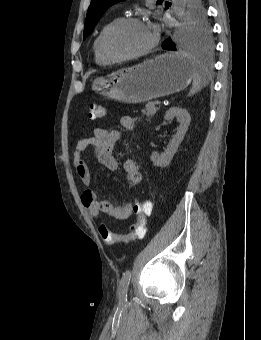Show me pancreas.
Instances as JSON below:
<instances>
[{
	"mask_svg": "<svg viewBox=\"0 0 261 340\" xmlns=\"http://www.w3.org/2000/svg\"><path fill=\"white\" fill-rule=\"evenodd\" d=\"M155 105H156L155 101L149 102L148 104H146L145 109L142 110V113L147 117H153L156 114L157 110L159 109L155 107Z\"/></svg>",
	"mask_w": 261,
	"mask_h": 340,
	"instance_id": "pancreas-1",
	"label": "pancreas"
}]
</instances>
